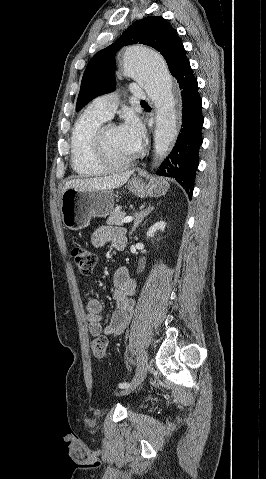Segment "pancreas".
<instances>
[{"label":"pancreas","instance_id":"pancreas-1","mask_svg":"<svg viewBox=\"0 0 266 479\" xmlns=\"http://www.w3.org/2000/svg\"><path fill=\"white\" fill-rule=\"evenodd\" d=\"M126 213L120 211L119 209L113 210L107 219V225H122V219L125 218Z\"/></svg>","mask_w":266,"mask_h":479}]
</instances>
